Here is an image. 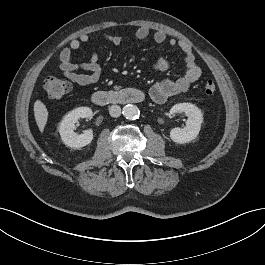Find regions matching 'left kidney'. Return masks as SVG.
Instances as JSON below:
<instances>
[{
	"label": "left kidney",
	"instance_id": "left-kidney-1",
	"mask_svg": "<svg viewBox=\"0 0 265 265\" xmlns=\"http://www.w3.org/2000/svg\"><path fill=\"white\" fill-rule=\"evenodd\" d=\"M184 112L188 119L186 127L173 128L170 131V138L178 144H185L194 140L201 129L203 114L201 110L191 103H179L170 109L171 114Z\"/></svg>",
	"mask_w": 265,
	"mask_h": 265
}]
</instances>
